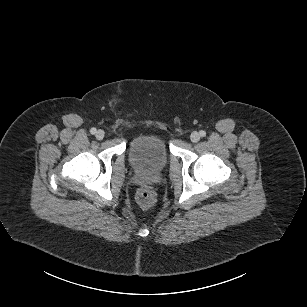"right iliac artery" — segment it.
<instances>
[{"label": "right iliac artery", "mask_w": 307, "mask_h": 307, "mask_svg": "<svg viewBox=\"0 0 307 307\" xmlns=\"http://www.w3.org/2000/svg\"><path fill=\"white\" fill-rule=\"evenodd\" d=\"M97 131H96V128H91V130H90V133L91 134H95Z\"/></svg>", "instance_id": "82829eb1"}]
</instances>
